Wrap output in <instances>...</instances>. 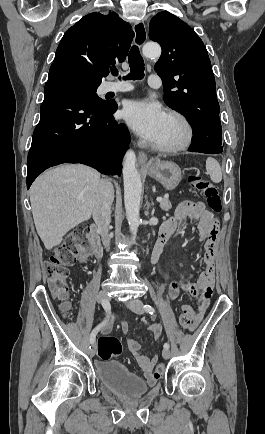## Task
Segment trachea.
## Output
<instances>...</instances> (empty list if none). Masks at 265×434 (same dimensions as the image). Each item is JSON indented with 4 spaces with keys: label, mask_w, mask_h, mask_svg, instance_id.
Here are the masks:
<instances>
[{
    "label": "trachea",
    "mask_w": 265,
    "mask_h": 434,
    "mask_svg": "<svg viewBox=\"0 0 265 434\" xmlns=\"http://www.w3.org/2000/svg\"><path fill=\"white\" fill-rule=\"evenodd\" d=\"M128 63L130 66V73L126 78L131 80H141L144 77L145 64L137 46H133L128 55ZM113 75H118L117 69L111 70Z\"/></svg>",
    "instance_id": "3493384b"
}]
</instances>
